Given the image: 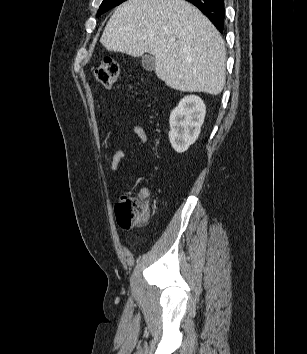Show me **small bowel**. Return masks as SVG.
I'll return each mask as SVG.
<instances>
[{
    "instance_id": "1",
    "label": "small bowel",
    "mask_w": 307,
    "mask_h": 354,
    "mask_svg": "<svg viewBox=\"0 0 307 354\" xmlns=\"http://www.w3.org/2000/svg\"><path fill=\"white\" fill-rule=\"evenodd\" d=\"M126 129H130L134 135L137 137V142L139 145L144 146L148 141V136L143 127L133 124L125 126ZM127 149H119L117 150L111 159L110 168L113 173H116L119 169L121 161L126 157ZM143 156H145V152H143ZM138 195H148L147 189H141L138 192Z\"/></svg>"
}]
</instances>
